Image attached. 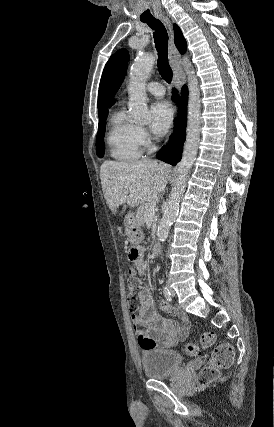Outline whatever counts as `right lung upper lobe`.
Here are the masks:
<instances>
[{"instance_id":"cb5924a9","label":"right lung upper lobe","mask_w":274,"mask_h":427,"mask_svg":"<svg viewBox=\"0 0 274 427\" xmlns=\"http://www.w3.org/2000/svg\"><path fill=\"white\" fill-rule=\"evenodd\" d=\"M174 36H175L174 41H175V44H176L178 50L182 54L185 53V51L187 50V43H186L185 38L183 37V34H182L180 28L176 24H174ZM110 61H111V58L108 61V63L106 64L105 69L109 65ZM105 111H107V108L102 104V100H101L100 92H99V95H98V113L100 114V113H103Z\"/></svg>"}]
</instances>
